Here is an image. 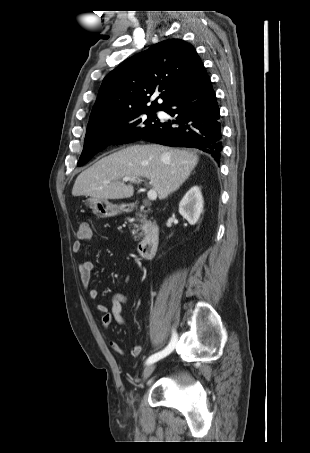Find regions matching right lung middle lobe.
<instances>
[{"mask_svg": "<svg viewBox=\"0 0 310 453\" xmlns=\"http://www.w3.org/2000/svg\"><path fill=\"white\" fill-rule=\"evenodd\" d=\"M156 111H135L88 126L78 166L88 162L92 156L108 145H119L141 139L160 122Z\"/></svg>", "mask_w": 310, "mask_h": 453, "instance_id": "1", "label": "right lung middle lobe"}]
</instances>
